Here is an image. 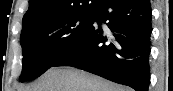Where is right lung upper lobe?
I'll return each mask as SVG.
<instances>
[{"instance_id":"obj_1","label":"right lung upper lobe","mask_w":173,"mask_h":91,"mask_svg":"<svg viewBox=\"0 0 173 91\" xmlns=\"http://www.w3.org/2000/svg\"><path fill=\"white\" fill-rule=\"evenodd\" d=\"M98 0H29L23 28L67 14L95 9Z\"/></svg>"}]
</instances>
